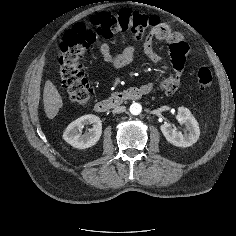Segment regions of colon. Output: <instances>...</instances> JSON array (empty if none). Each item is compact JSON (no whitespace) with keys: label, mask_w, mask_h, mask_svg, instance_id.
Wrapping results in <instances>:
<instances>
[{"label":"colon","mask_w":236,"mask_h":236,"mask_svg":"<svg viewBox=\"0 0 236 236\" xmlns=\"http://www.w3.org/2000/svg\"><path fill=\"white\" fill-rule=\"evenodd\" d=\"M147 32H152L163 42L176 37L158 17L127 9L97 14L68 30L61 43L59 63L62 82L70 99L77 104H86L91 99L92 89L83 73L82 64L86 51L97 38L109 39L117 33H130L135 38H142ZM197 78L200 87L208 89L213 82V73L203 66L198 69Z\"/></svg>","instance_id":"obj_1"}]
</instances>
